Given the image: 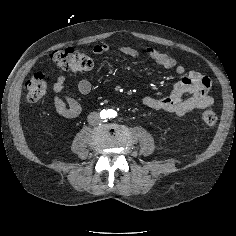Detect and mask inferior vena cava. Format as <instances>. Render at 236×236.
<instances>
[{"label":"inferior vena cava","instance_id":"602c4592","mask_svg":"<svg viewBox=\"0 0 236 236\" xmlns=\"http://www.w3.org/2000/svg\"><path fill=\"white\" fill-rule=\"evenodd\" d=\"M88 123L90 125H97L100 123L101 119H100V116L97 112H91L88 117Z\"/></svg>","mask_w":236,"mask_h":236}]
</instances>
